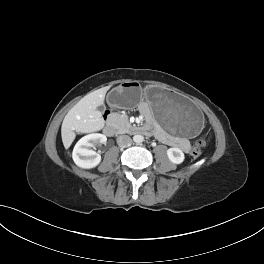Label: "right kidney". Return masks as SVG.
Listing matches in <instances>:
<instances>
[{
    "mask_svg": "<svg viewBox=\"0 0 264 264\" xmlns=\"http://www.w3.org/2000/svg\"><path fill=\"white\" fill-rule=\"evenodd\" d=\"M106 141V136L100 133H92L82 137L76 143L72 152L75 164L84 169L96 167L101 162V156L92 150L91 147Z\"/></svg>",
    "mask_w": 264,
    "mask_h": 264,
    "instance_id": "ca27d5eb",
    "label": "right kidney"
}]
</instances>
